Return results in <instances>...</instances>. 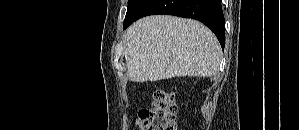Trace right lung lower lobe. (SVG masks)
<instances>
[{"instance_id":"obj_1","label":"right lung lower lobe","mask_w":299,"mask_h":130,"mask_svg":"<svg viewBox=\"0 0 299 130\" xmlns=\"http://www.w3.org/2000/svg\"><path fill=\"white\" fill-rule=\"evenodd\" d=\"M154 14L175 15L201 21L214 32L224 49L225 19L221 0H147L128 26L141 17Z\"/></svg>"}]
</instances>
